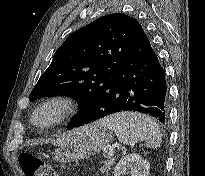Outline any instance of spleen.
<instances>
[{"label": "spleen", "mask_w": 205, "mask_h": 176, "mask_svg": "<svg viewBox=\"0 0 205 176\" xmlns=\"http://www.w3.org/2000/svg\"><path fill=\"white\" fill-rule=\"evenodd\" d=\"M111 129L119 141L126 145L146 142L147 147L157 148L162 137L158 125L147 115L135 112L112 114L96 122Z\"/></svg>", "instance_id": "spleen-1"}]
</instances>
